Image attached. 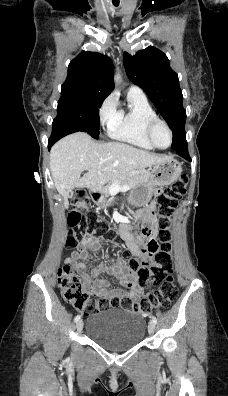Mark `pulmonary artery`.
Wrapping results in <instances>:
<instances>
[{
	"label": "pulmonary artery",
	"instance_id": "1",
	"mask_svg": "<svg viewBox=\"0 0 228 396\" xmlns=\"http://www.w3.org/2000/svg\"><path fill=\"white\" fill-rule=\"evenodd\" d=\"M128 93L137 94V95H144L143 90L140 87L136 86V85H131L129 87Z\"/></svg>",
	"mask_w": 228,
	"mask_h": 396
}]
</instances>
